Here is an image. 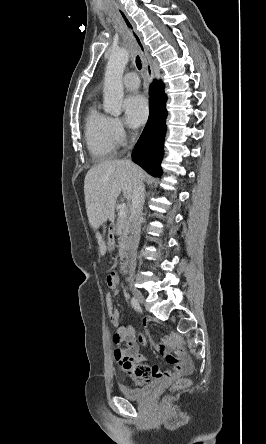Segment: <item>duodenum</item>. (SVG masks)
Wrapping results in <instances>:
<instances>
[{"mask_svg": "<svg viewBox=\"0 0 266 444\" xmlns=\"http://www.w3.org/2000/svg\"><path fill=\"white\" fill-rule=\"evenodd\" d=\"M113 239H114V233H113V231H111V240H113ZM127 271H128L127 261L124 260L121 265V272L126 274Z\"/></svg>", "mask_w": 266, "mask_h": 444, "instance_id": "obj_1", "label": "duodenum"}]
</instances>
